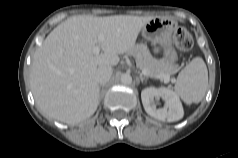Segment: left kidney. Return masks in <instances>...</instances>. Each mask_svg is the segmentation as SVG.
Segmentation results:
<instances>
[{
  "label": "left kidney",
  "instance_id": "1",
  "mask_svg": "<svg viewBox=\"0 0 238 158\" xmlns=\"http://www.w3.org/2000/svg\"><path fill=\"white\" fill-rule=\"evenodd\" d=\"M165 101L163 108H157L154 99ZM143 107L148 115L161 121L174 122L182 119L183 107L179 97L170 89L147 87L141 92Z\"/></svg>",
  "mask_w": 238,
  "mask_h": 158
}]
</instances>
